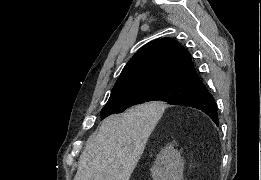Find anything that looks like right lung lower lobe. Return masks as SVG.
Segmentation results:
<instances>
[{
  "label": "right lung lower lobe",
  "instance_id": "right-lung-lower-lobe-1",
  "mask_svg": "<svg viewBox=\"0 0 261 180\" xmlns=\"http://www.w3.org/2000/svg\"><path fill=\"white\" fill-rule=\"evenodd\" d=\"M170 104L185 105L199 109L207 114L216 124L219 122L215 99L204 85L201 91L175 99Z\"/></svg>",
  "mask_w": 261,
  "mask_h": 180
}]
</instances>
